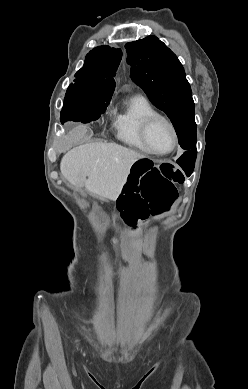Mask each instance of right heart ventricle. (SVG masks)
Wrapping results in <instances>:
<instances>
[{
  "instance_id": "e07e8e85",
  "label": "right heart ventricle",
  "mask_w": 248,
  "mask_h": 389,
  "mask_svg": "<svg viewBox=\"0 0 248 389\" xmlns=\"http://www.w3.org/2000/svg\"><path fill=\"white\" fill-rule=\"evenodd\" d=\"M157 113L151 103L141 95L131 97L124 107L114 111L113 128L116 137L124 144L148 152L140 135L143 121Z\"/></svg>"
}]
</instances>
